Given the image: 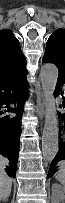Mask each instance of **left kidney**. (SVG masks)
Wrapping results in <instances>:
<instances>
[{"instance_id":"left-kidney-1","label":"left kidney","mask_w":65,"mask_h":203,"mask_svg":"<svg viewBox=\"0 0 65 203\" xmlns=\"http://www.w3.org/2000/svg\"><path fill=\"white\" fill-rule=\"evenodd\" d=\"M52 203H65V188L59 184H53Z\"/></svg>"}]
</instances>
